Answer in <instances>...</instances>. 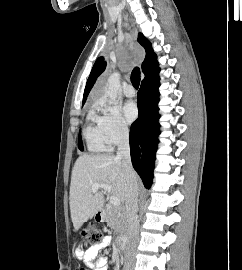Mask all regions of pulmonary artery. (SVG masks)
Wrapping results in <instances>:
<instances>
[{
  "label": "pulmonary artery",
  "mask_w": 242,
  "mask_h": 270,
  "mask_svg": "<svg viewBox=\"0 0 242 270\" xmlns=\"http://www.w3.org/2000/svg\"><path fill=\"white\" fill-rule=\"evenodd\" d=\"M124 94L127 97H134L136 94V91L132 85H128L124 88Z\"/></svg>",
  "instance_id": "pulmonary-artery-1"
}]
</instances>
